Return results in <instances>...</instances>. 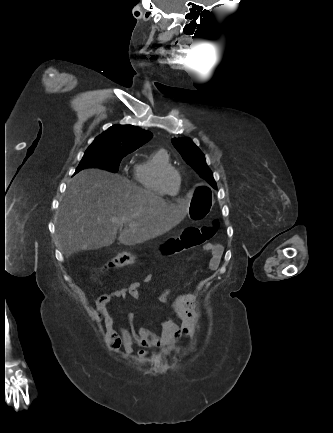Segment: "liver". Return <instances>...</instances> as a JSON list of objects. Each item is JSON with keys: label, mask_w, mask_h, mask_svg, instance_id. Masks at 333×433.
I'll return each mask as SVG.
<instances>
[{"label": "liver", "mask_w": 333, "mask_h": 433, "mask_svg": "<svg viewBox=\"0 0 333 433\" xmlns=\"http://www.w3.org/2000/svg\"><path fill=\"white\" fill-rule=\"evenodd\" d=\"M187 209V201L165 202L118 174L84 169L68 183L56 232L68 258L110 246L118 231L126 246L156 238L177 226Z\"/></svg>", "instance_id": "obj_1"}]
</instances>
